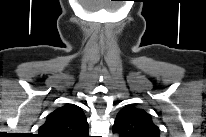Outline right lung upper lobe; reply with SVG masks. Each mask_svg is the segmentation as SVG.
Returning a JSON list of instances; mask_svg holds the SVG:
<instances>
[{"label":"right lung upper lobe","instance_id":"obj_1","mask_svg":"<svg viewBox=\"0 0 206 137\" xmlns=\"http://www.w3.org/2000/svg\"><path fill=\"white\" fill-rule=\"evenodd\" d=\"M89 126L83 110L67 104L47 116L39 128L40 137H87Z\"/></svg>","mask_w":206,"mask_h":137}]
</instances>
